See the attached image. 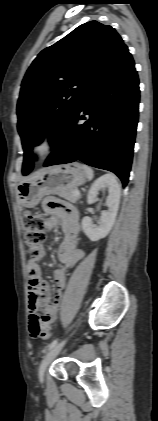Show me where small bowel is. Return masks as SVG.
Instances as JSON below:
<instances>
[{
  "mask_svg": "<svg viewBox=\"0 0 158 421\" xmlns=\"http://www.w3.org/2000/svg\"><path fill=\"white\" fill-rule=\"evenodd\" d=\"M44 210L50 215L48 225L50 228L61 225L64 239L58 248L59 267L53 278L57 286L53 301L49 284L42 278L38 261L45 255L41 245L35 256L27 264L28 271V308L29 330L32 336L34 331L42 326L53 324L57 317L62 300V291L66 286V271L84 258V251L78 247V234L80 230L77 210L69 204L55 197H47L43 203ZM40 311L43 314L40 315Z\"/></svg>",
  "mask_w": 158,
  "mask_h": 421,
  "instance_id": "obj_1",
  "label": "small bowel"
}]
</instances>
